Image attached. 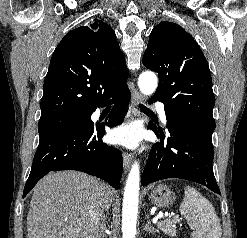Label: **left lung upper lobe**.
<instances>
[{"mask_svg": "<svg viewBox=\"0 0 247 238\" xmlns=\"http://www.w3.org/2000/svg\"><path fill=\"white\" fill-rule=\"evenodd\" d=\"M143 65L159 75L152 98L167 119L180 118L212 133L215 97L208 63L193 37L178 24L161 22L151 32Z\"/></svg>", "mask_w": 247, "mask_h": 238, "instance_id": "obj_1", "label": "left lung upper lobe"}]
</instances>
